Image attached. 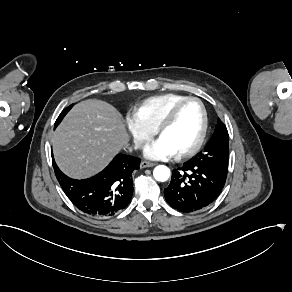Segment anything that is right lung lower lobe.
I'll list each match as a JSON object with an SVG mask.
<instances>
[{
  "instance_id": "1",
  "label": "right lung lower lobe",
  "mask_w": 292,
  "mask_h": 292,
  "mask_svg": "<svg viewBox=\"0 0 292 292\" xmlns=\"http://www.w3.org/2000/svg\"><path fill=\"white\" fill-rule=\"evenodd\" d=\"M53 158V156H52ZM140 159L118 154L97 175L83 180L66 176L56 165V178L71 202L93 217H108L128 206L133 194L132 173L139 169Z\"/></svg>"
}]
</instances>
